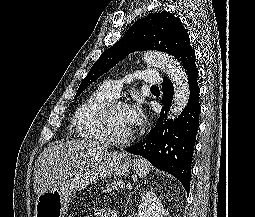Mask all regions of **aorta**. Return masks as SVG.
<instances>
[{
	"label": "aorta",
	"mask_w": 255,
	"mask_h": 217,
	"mask_svg": "<svg viewBox=\"0 0 255 217\" xmlns=\"http://www.w3.org/2000/svg\"><path fill=\"white\" fill-rule=\"evenodd\" d=\"M149 65L162 69L170 78L174 88V98L169 115L176 118L183 111L189 101L190 89L186 72L173 57L157 51L146 52L143 57Z\"/></svg>",
	"instance_id": "aorta-1"
}]
</instances>
